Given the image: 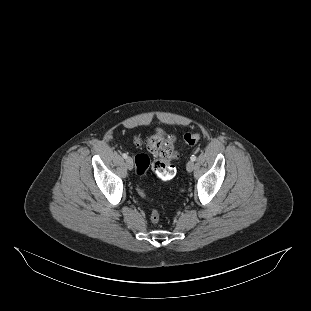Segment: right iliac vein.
Returning a JSON list of instances; mask_svg holds the SVG:
<instances>
[{"label":"right iliac vein","instance_id":"right-iliac-vein-1","mask_svg":"<svg viewBox=\"0 0 311 311\" xmlns=\"http://www.w3.org/2000/svg\"><path fill=\"white\" fill-rule=\"evenodd\" d=\"M126 165H127V168H128L129 170H132V169H133L134 163H133V159H132L131 157H127V158H126Z\"/></svg>","mask_w":311,"mask_h":311}]
</instances>
